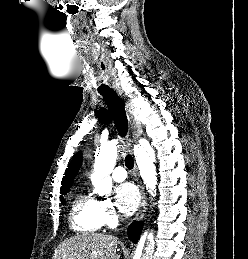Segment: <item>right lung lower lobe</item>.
Returning <instances> with one entry per match:
<instances>
[{"instance_id": "98d812e1", "label": "right lung lower lobe", "mask_w": 248, "mask_h": 259, "mask_svg": "<svg viewBox=\"0 0 248 259\" xmlns=\"http://www.w3.org/2000/svg\"><path fill=\"white\" fill-rule=\"evenodd\" d=\"M143 223L142 222H134L128 228V237L133 242L136 243L140 237L142 231Z\"/></svg>"}]
</instances>
